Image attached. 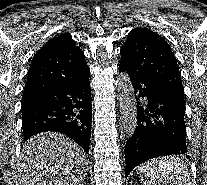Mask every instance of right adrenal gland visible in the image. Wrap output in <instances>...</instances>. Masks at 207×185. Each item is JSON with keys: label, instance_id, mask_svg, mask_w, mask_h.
I'll return each instance as SVG.
<instances>
[{"label": "right adrenal gland", "instance_id": "1", "mask_svg": "<svg viewBox=\"0 0 207 185\" xmlns=\"http://www.w3.org/2000/svg\"><path fill=\"white\" fill-rule=\"evenodd\" d=\"M80 185H83V181H82V183H80Z\"/></svg>", "mask_w": 207, "mask_h": 185}]
</instances>
